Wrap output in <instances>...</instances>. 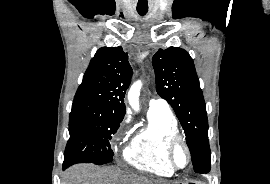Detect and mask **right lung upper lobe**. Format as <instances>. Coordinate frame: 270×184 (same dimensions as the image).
<instances>
[{
  "instance_id": "1",
  "label": "right lung upper lobe",
  "mask_w": 270,
  "mask_h": 184,
  "mask_svg": "<svg viewBox=\"0 0 270 184\" xmlns=\"http://www.w3.org/2000/svg\"><path fill=\"white\" fill-rule=\"evenodd\" d=\"M131 77L132 68L122 47H102L92 58L73 103H86L97 112L123 119Z\"/></svg>"
}]
</instances>
